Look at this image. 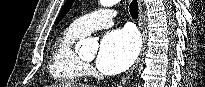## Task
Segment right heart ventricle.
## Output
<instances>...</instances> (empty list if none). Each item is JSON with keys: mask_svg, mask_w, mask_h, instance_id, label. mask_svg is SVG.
Returning a JSON list of instances; mask_svg holds the SVG:
<instances>
[{"mask_svg": "<svg viewBox=\"0 0 205 87\" xmlns=\"http://www.w3.org/2000/svg\"><path fill=\"white\" fill-rule=\"evenodd\" d=\"M83 36L85 35L71 25L54 42L49 62V73L56 82L73 84L84 78L86 68L81 63L74 48L75 42Z\"/></svg>", "mask_w": 205, "mask_h": 87, "instance_id": "1", "label": "right heart ventricle"}]
</instances>
